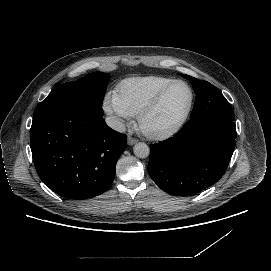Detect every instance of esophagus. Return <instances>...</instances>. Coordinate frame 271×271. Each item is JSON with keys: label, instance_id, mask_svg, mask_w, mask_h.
<instances>
[{"label": "esophagus", "instance_id": "1", "mask_svg": "<svg viewBox=\"0 0 271 271\" xmlns=\"http://www.w3.org/2000/svg\"><path fill=\"white\" fill-rule=\"evenodd\" d=\"M137 142H138L137 139H135V138H133L131 136L127 137V143H128V145L132 146V145L136 144Z\"/></svg>", "mask_w": 271, "mask_h": 271}]
</instances>
